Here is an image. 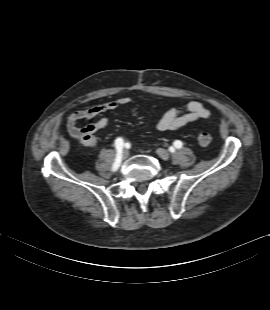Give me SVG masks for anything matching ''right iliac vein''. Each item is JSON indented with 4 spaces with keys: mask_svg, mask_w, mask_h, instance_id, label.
I'll list each match as a JSON object with an SVG mask.
<instances>
[{
    "mask_svg": "<svg viewBox=\"0 0 270 310\" xmlns=\"http://www.w3.org/2000/svg\"><path fill=\"white\" fill-rule=\"evenodd\" d=\"M129 156L128 150H124L123 152V159H126Z\"/></svg>",
    "mask_w": 270,
    "mask_h": 310,
    "instance_id": "63e3f726",
    "label": "right iliac vein"
}]
</instances>
